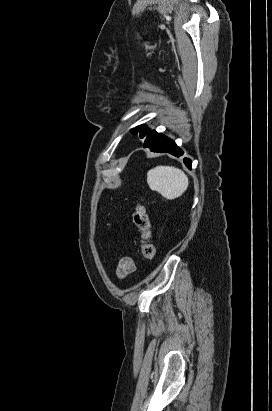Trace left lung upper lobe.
I'll list each match as a JSON object with an SVG mask.
<instances>
[{"label": "left lung upper lobe", "mask_w": 272, "mask_h": 411, "mask_svg": "<svg viewBox=\"0 0 272 411\" xmlns=\"http://www.w3.org/2000/svg\"><path fill=\"white\" fill-rule=\"evenodd\" d=\"M131 132L133 134H137L138 132H140V138H143L153 131L141 125V126H137L136 128L131 129Z\"/></svg>", "instance_id": "1"}]
</instances>
